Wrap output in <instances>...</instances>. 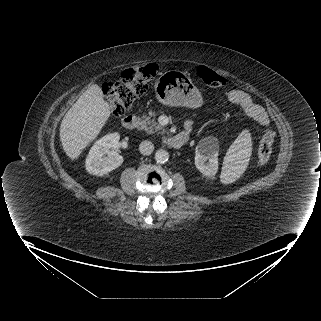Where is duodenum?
<instances>
[{"label":"duodenum","mask_w":321,"mask_h":321,"mask_svg":"<svg viewBox=\"0 0 321 321\" xmlns=\"http://www.w3.org/2000/svg\"><path fill=\"white\" fill-rule=\"evenodd\" d=\"M139 120L137 116L129 114L122 119V125L127 130H134L137 128ZM186 142V136L176 135L165 137L164 143L170 148H180Z\"/></svg>","instance_id":"410a0bca"}]
</instances>
